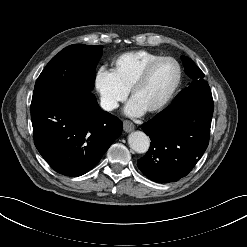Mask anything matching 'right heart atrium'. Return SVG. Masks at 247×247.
Listing matches in <instances>:
<instances>
[{"label":"right heart atrium","mask_w":247,"mask_h":247,"mask_svg":"<svg viewBox=\"0 0 247 247\" xmlns=\"http://www.w3.org/2000/svg\"><path fill=\"white\" fill-rule=\"evenodd\" d=\"M93 88L102 108L106 111L114 110L128 95V91L118 84L111 71L103 67L94 75Z\"/></svg>","instance_id":"right-heart-atrium-1"}]
</instances>
